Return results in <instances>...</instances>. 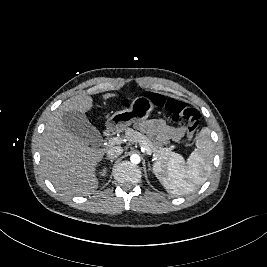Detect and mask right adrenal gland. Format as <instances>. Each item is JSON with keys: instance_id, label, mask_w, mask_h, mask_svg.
I'll use <instances>...</instances> for the list:
<instances>
[{"instance_id": "obj_1", "label": "right adrenal gland", "mask_w": 267, "mask_h": 267, "mask_svg": "<svg viewBox=\"0 0 267 267\" xmlns=\"http://www.w3.org/2000/svg\"><path fill=\"white\" fill-rule=\"evenodd\" d=\"M106 160H110V162L112 163L115 159H110V158H105Z\"/></svg>"}]
</instances>
